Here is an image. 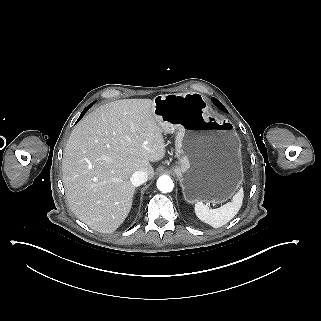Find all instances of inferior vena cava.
<instances>
[{
    "instance_id": "inferior-vena-cava-1",
    "label": "inferior vena cava",
    "mask_w": 321,
    "mask_h": 321,
    "mask_svg": "<svg viewBox=\"0 0 321 321\" xmlns=\"http://www.w3.org/2000/svg\"><path fill=\"white\" fill-rule=\"evenodd\" d=\"M147 179H148L147 173L144 171H136L130 177V181L134 186H139L145 183Z\"/></svg>"
}]
</instances>
